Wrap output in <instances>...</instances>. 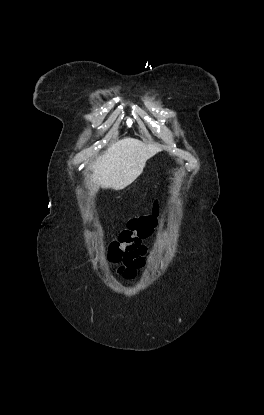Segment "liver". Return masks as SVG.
<instances>
[{"instance_id":"obj_1","label":"liver","mask_w":264,"mask_h":415,"mask_svg":"<svg viewBox=\"0 0 264 415\" xmlns=\"http://www.w3.org/2000/svg\"><path fill=\"white\" fill-rule=\"evenodd\" d=\"M161 150L134 138H124L112 145L93 163L88 176L90 185L122 190L129 186L142 172L146 161Z\"/></svg>"}]
</instances>
